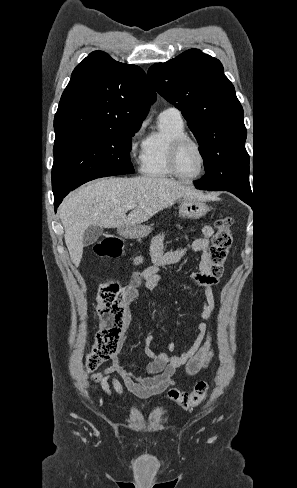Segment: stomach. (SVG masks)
<instances>
[{
    "label": "stomach",
    "instance_id": "1",
    "mask_svg": "<svg viewBox=\"0 0 297 488\" xmlns=\"http://www.w3.org/2000/svg\"><path fill=\"white\" fill-rule=\"evenodd\" d=\"M209 211L208 206L203 200L198 198H184L179 206V215L183 218L199 219ZM152 231L150 226L134 225L119 228V234L124 238L135 239L144 238Z\"/></svg>",
    "mask_w": 297,
    "mask_h": 488
}]
</instances>
